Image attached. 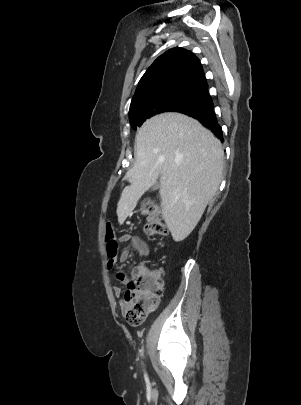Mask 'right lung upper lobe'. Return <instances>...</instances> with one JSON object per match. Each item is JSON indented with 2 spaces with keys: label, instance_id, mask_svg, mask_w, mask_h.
Instances as JSON below:
<instances>
[{
  "label": "right lung upper lobe",
  "instance_id": "obj_1",
  "mask_svg": "<svg viewBox=\"0 0 301 405\" xmlns=\"http://www.w3.org/2000/svg\"><path fill=\"white\" fill-rule=\"evenodd\" d=\"M174 88L208 93L200 60L192 52L179 47L166 51L147 69L139 81L130 108L143 97Z\"/></svg>",
  "mask_w": 301,
  "mask_h": 405
}]
</instances>
